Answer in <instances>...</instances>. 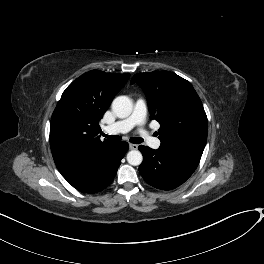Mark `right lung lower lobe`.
I'll return each mask as SVG.
<instances>
[{"label":"right lung lower lobe","instance_id":"98d812e1","mask_svg":"<svg viewBox=\"0 0 264 264\" xmlns=\"http://www.w3.org/2000/svg\"><path fill=\"white\" fill-rule=\"evenodd\" d=\"M127 150V142L114 143L93 171L69 183L84 193H96L105 189L115 178L121 159Z\"/></svg>","mask_w":264,"mask_h":264}]
</instances>
